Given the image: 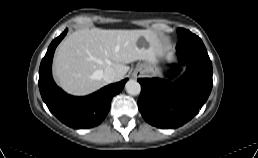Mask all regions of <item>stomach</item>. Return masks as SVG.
I'll use <instances>...</instances> for the list:
<instances>
[{
  "label": "stomach",
  "mask_w": 258,
  "mask_h": 158,
  "mask_svg": "<svg viewBox=\"0 0 258 158\" xmlns=\"http://www.w3.org/2000/svg\"><path fill=\"white\" fill-rule=\"evenodd\" d=\"M134 74L162 77L161 69L157 66V62L150 63L148 61L138 64L134 70Z\"/></svg>",
  "instance_id": "1"
}]
</instances>
